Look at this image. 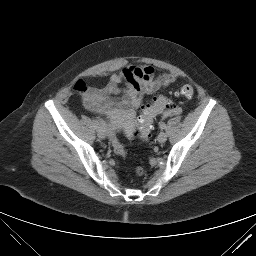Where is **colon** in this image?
I'll return each instance as SVG.
<instances>
[{"mask_svg":"<svg viewBox=\"0 0 256 256\" xmlns=\"http://www.w3.org/2000/svg\"><path fill=\"white\" fill-rule=\"evenodd\" d=\"M76 89L79 91H84L86 87L83 82L79 81L76 84ZM193 93V87L189 84H185L176 91L175 95L179 97L189 98L193 95ZM172 105V100L169 97L159 96L155 98L152 103L147 104L143 107L142 113L138 118V137L141 140H146L149 137L152 123L156 116L171 108ZM112 146L114 152L117 155L123 158L126 156V150L119 138L115 137L112 139ZM142 172L143 171L140 167L136 168V173L138 175H141Z\"/></svg>","mask_w":256,"mask_h":256,"instance_id":"obj_1","label":"colon"}]
</instances>
